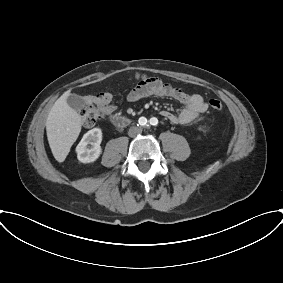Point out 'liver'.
<instances>
[{
    "mask_svg": "<svg viewBox=\"0 0 283 283\" xmlns=\"http://www.w3.org/2000/svg\"><path fill=\"white\" fill-rule=\"evenodd\" d=\"M65 92L51 108L46 119V132L54 158L63 162L81 132V117L67 104Z\"/></svg>",
    "mask_w": 283,
    "mask_h": 283,
    "instance_id": "1",
    "label": "liver"
}]
</instances>
